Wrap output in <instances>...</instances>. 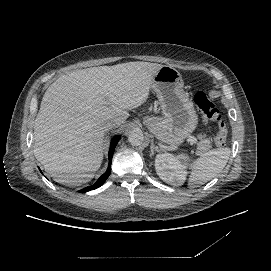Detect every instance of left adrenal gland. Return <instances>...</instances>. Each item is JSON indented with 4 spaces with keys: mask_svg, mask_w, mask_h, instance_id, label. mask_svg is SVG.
<instances>
[{
    "mask_svg": "<svg viewBox=\"0 0 271 271\" xmlns=\"http://www.w3.org/2000/svg\"><path fill=\"white\" fill-rule=\"evenodd\" d=\"M157 152V153H159V150H157L156 148H155V144L153 143V142H151V153H150V157H153L154 156V152Z\"/></svg>",
    "mask_w": 271,
    "mask_h": 271,
    "instance_id": "a2214340",
    "label": "left adrenal gland"
}]
</instances>
